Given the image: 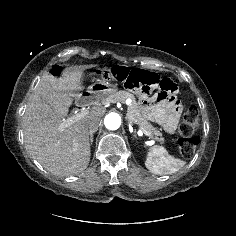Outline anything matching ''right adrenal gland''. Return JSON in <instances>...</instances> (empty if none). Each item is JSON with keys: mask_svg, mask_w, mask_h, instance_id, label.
<instances>
[{"mask_svg": "<svg viewBox=\"0 0 236 236\" xmlns=\"http://www.w3.org/2000/svg\"><path fill=\"white\" fill-rule=\"evenodd\" d=\"M96 131H97V130H90V131H89L90 145L93 143L94 133H95Z\"/></svg>", "mask_w": 236, "mask_h": 236, "instance_id": "1", "label": "right adrenal gland"}]
</instances>
